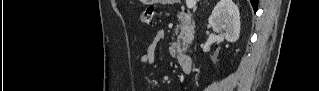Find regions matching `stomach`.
<instances>
[{"mask_svg": "<svg viewBox=\"0 0 319 91\" xmlns=\"http://www.w3.org/2000/svg\"><path fill=\"white\" fill-rule=\"evenodd\" d=\"M160 0H144V2L146 3V4H155V3H157V2H159ZM162 2H169V1H171V0H161Z\"/></svg>", "mask_w": 319, "mask_h": 91, "instance_id": "1", "label": "stomach"}]
</instances>
